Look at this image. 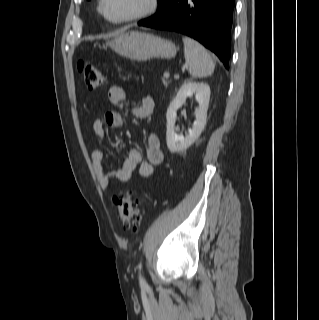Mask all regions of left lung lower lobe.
<instances>
[{
	"mask_svg": "<svg viewBox=\"0 0 319 320\" xmlns=\"http://www.w3.org/2000/svg\"><path fill=\"white\" fill-rule=\"evenodd\" d=\"M235 0H164L140 26L188 35L214 52L229 68Z\"/></svg>",
	"mask_w": 319,
	"mask_h": 320,
	"instance_id": "0a47b994",
	"label": "left lung lower lobe"
}]
</instances>
